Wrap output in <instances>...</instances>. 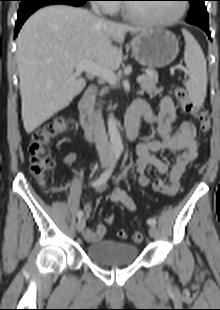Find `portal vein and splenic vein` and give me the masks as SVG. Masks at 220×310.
<instances>
[{"instance_id":"18ae733b","label":"portal vein and splenic vein","mask_w":220,"mask_h":310,"mask_svg":"<svg viewBox=\"0 0 220 310\" xmlns=\"http://www.w3.org/2000/svg\"><path fill=\"white\" fill-rule=\"evenodd\" d=\"M177 68L183 69V67H179V66H177ZM76 71L79 73H81L82 71H85L89 75L97 76V77L104 79L111 85H115L117 82L116 76L111 70L101 67L99 65H96L92 62H88V61L78 62L76 65ZM143 79H144V76H139L137 78V82L141 83Z\"/></svg>"}]
</instances>
